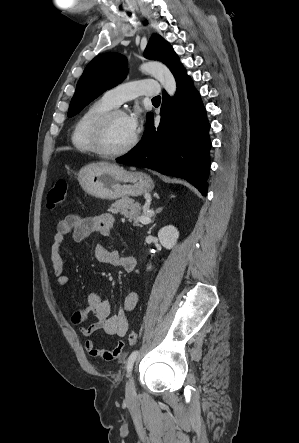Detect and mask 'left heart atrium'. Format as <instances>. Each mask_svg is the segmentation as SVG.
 Instances as JSON below:
<instances>
[{
	"label": "left heart atrium",
	"mask_w": 299,
	"mask_h": 443,
	"mask_svg": "<svg viewBox=\"0 0 299 443\" xmlns=\"http://www.w3.org/2000/svg\"><path fill=\"white\" fill-rule=\"evenodd\" d=\"M127 120L131 129L136 132L140 123L138 113H132L131 115L127 116Z\"/></svg>",
	"instance_id": "39dd6f15"
}]
</instances>
